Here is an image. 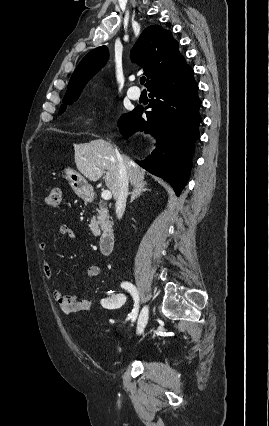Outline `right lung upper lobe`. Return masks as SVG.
<instances>
[{
    "mask_svg": "<svg viewBox=\"0 0 269 426\" xmlns=\"http://www.w3.org/2000/svg\"><path fill=\"white\" fill-rule=\"evenodd\" d=\"M107 58L106 46L90 51L73 72L64 99L79 97L86 83L105 65ZM131 58L143 67L147 88L187 66L178 50V42L170 31L159 25L149 26L142 32L133 47Z\"/></svg>",
    "mask_w": 269,
    "mask_h": 426,
    "instance_id": "obj_1",
    "label": "right lung upper lobe"
}]
</instances>
